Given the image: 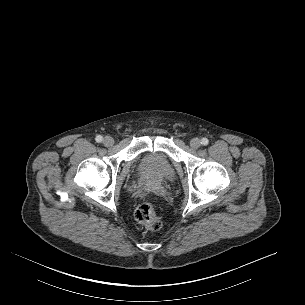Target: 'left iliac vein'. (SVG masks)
Instances as JSON below:
<instances>
[{
	"mask_svg": "<svg viewBox=\"0 0 305 305\" xmlns=\"http://www.w3.org/2000/svg\"><path fill=\"white\" fill-rule=\"evenodd\" d=\"M190 146L193 148V149H198L200 146H201V141L199 138H193L191 139L190 141Z\"/></svg>",
	"mask_w": 305,
	"mask_h": 305,
	"instance_id": "left-iliac-vein-1",
	"label": "left iliac vein"
}]
</instances>
